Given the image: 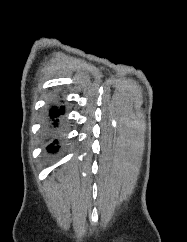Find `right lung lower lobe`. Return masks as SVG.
I'll return each mask as SVG.
<instances>
[{"label":"right lung lower lobe","instance_id":"1","mask_svg":"<svg viewBox=\"0 0 187 242\" xmlns=\"http://www.w3.org/2000/svg\"><path fill=\"white\" fill-rule=\"evenodd\" d=\"M64 114V107L60 106L59 108L57 106L51 107L49 111V122H48V128L50 130L57 131V128L59 127V119L58 117L60 115ZM52 135V134H51ZM58 140L53 139L49 146L47 147L48 152L54 153L57 151L59 146L57 145Z\"/></svg>","mask_w":187,"mask_h":242}]
</instances>
